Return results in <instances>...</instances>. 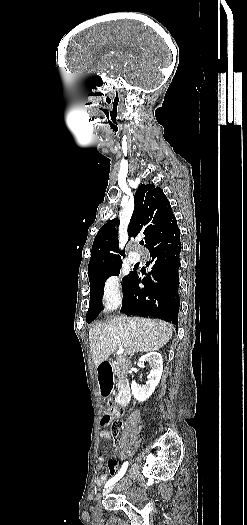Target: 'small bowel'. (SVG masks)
<instances>
[{
  "label": "small bowel",
  "mask_w": 247,
  "mask_h": 525,
  "mask_svg": "<svg viewBox=\"0 0 247 525\" xmlns=\"http://www.w3.org/2000/svg\"><path fill=\"white\" fill-rule=\"evenodd\" d=\"M119 415L120 413H118L117 417H119ZM100 438L103 440L112 441L115 443L113 434L107 430H103L100 432ZM116 458H117V446L115 445V451L113 452L112 457L109 460V473L111 475H114L118 468ZM102 462H103V456H99L97 470H100L102 468ZM107 480H108V474L103 473L96 478V484L97 486H103L107 482Z\"/></svg>",
  "instance_id": "small-bowel-1"
}]
</instances>
